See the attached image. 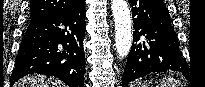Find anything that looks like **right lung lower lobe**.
Masks as SVG:
<instances>
[{"label":"right lung lower lobe","mask_w":205,"mask_h":87,"mask_svg":"<svg viewBox=\"0 0 205 87\" xmlns=\"http://www.w3.org/2000/svg\"><path fill=\"white\" fill-rule=\"evenodd\" d=\"M85 30L84 1L62 13L30 20L10 84L37 73L54 76L70 87H83Z\"/></svg>","instance_id":"1"}]
</instances>
